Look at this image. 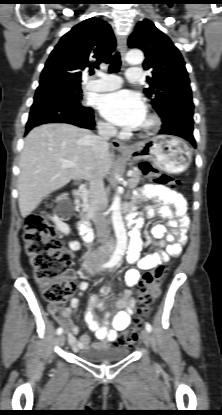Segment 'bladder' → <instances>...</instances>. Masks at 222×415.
I'll return each instance as SVG.
<instances>
[{
    "label": "bladder",
    "mask_w": 222,
    "mask_h": 415,
    "mask_svg": "<svg viewBox=\"0 0 222 415\" xmlns=\"http://www.w3.org/2000/svg\"><path fill=\"white\" fill-rule=\"evenodd\" d=\"M130 350L125 347L92 348L79 351L78 357L91 363H110L126 358Z\"/></svg>",
    "instance_id": "1"
}]
</instances>
